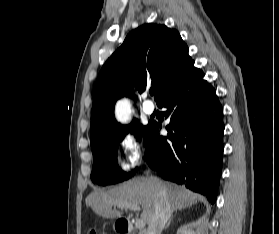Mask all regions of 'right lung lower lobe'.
<instances>
[{"mask_svg": "<svg viewBox=\"0 0 279 234\" xmlns=\"http://www.w3.org/2000/svg\"><path fill=\"white\" fill-rule=\"evenodd\" d=\"M193 65L160 99L166 107L167 137L159 136L161 125L151 123L146 140V161L159 175L206 195L214 203L222 173V106L215 89Z\"/></svg>", "mask_w": 279, "mask_h": 234, "instance_id": "obj_1", "label": "right lung lower lobe"}]
</instances>
